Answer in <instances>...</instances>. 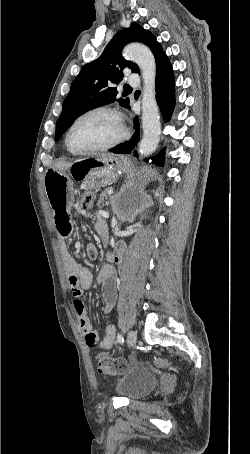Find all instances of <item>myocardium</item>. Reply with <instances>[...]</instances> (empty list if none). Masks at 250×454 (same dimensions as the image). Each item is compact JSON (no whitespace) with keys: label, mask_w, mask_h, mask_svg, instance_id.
<instances>
[{"label":"myocardium","mask_w":250,"mask_h":454,"mask_svg":"<svg viewBox=\"0 0 250 454\" xmlns=\"http://www.w3.org/2000/svg\"><path fill=\"white\" fill-rule=\"evenodd\" d=\"M100 112H104V113H109L111 115H113L117 122H118V125H119V129H120V133L117 137H115L113 140H111L110 142L104 144V145H101V146H98V147H94V148H90V149H76L73 147V145L71 144V133L74 129V127L84 118L92 115V114H95V113H100ZM128 137V130H127V127L126 125L124 124V121H123V118H122V115L120 114V112L118 110H116L115 108H112V107H109V106H97V107H94V108H91L87 111H85L84 113H82L81 115H79L74 121L73 123L70 125L68 131H67V134H66V145L68 147V149L72 152V153H75V154H92V153H97V152H102V151H107V150H110L114 147H116L117 145H119L120 143H122L126 138Z\"/></svg>","instance_id":"f54148a6"}]
</instances>
